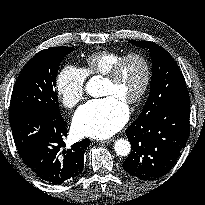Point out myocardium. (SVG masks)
Wrapping results in <instances>:
<instances>
[{
	"label": "myocardium",
	"mask_w": 205,
	"mask_h": 205,
	"mask_svg": "<svg viewBox=\"0 0 205 205\" xmlns=\"http://www.w3.org/2000/svg\"><path fill=\"white\" fill-rule=\"evenodd\" d=\"M130 59H138L144 66V80H143L142 86L140 90L138 91V93L133 98H131L130 100L126 102L129 105H134V104L139 103L144 98V96L146 95L149 89L150 83H151V78H152L151 64H150L149 59L145 55L138 53V52H132V53L123 55L113 65V67L109 70V72L104 75V79L110 82H116L121 74V71L125 63L129 61Z\"/></svg>",
	"instance_id": "1"
}]
</instances>
